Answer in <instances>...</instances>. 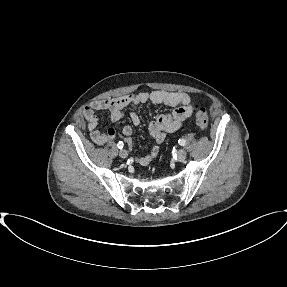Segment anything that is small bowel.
<instances>
[{"label": "small bowel", "instance_id": "obj_1", "mask_svg": "<svg viewBox=\"0 0 287 287\" xmlns=\"http://www.w3.org/2000/svg\"><path fill=\"white\" fill-rule=\"evenodd\" d=\"M148 102L154 105L174 107L171 113L161 114L149 123V133L155 140L156 145L152 148L149 155L136 159V162L141 166L149 165L158 156L160 152L159 145L164 141L166 134L179 130L191 116L193 111L192 101L188 94L156 90L93 101L83 110V116L87 121L91 140L97 145H104L113 141L117 136V132L114 128H109L104 132L98 128L97 111L108 110L111 120L117 122L124 118L125 107L129 105L140 107ZM130 119L134 125L140 123V117L136 111L130 113ZM131 133L132 128L128 125L121 129V134L125 137L124 142L128 146L131 145V140L128 138Z\"/></svg>", "mask_w": 287, "mask_h": 287}]
</instances>
